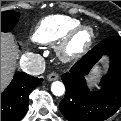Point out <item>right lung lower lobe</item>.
<instances>
[{
    "instance_id": "1",
    "label": "right lung lower lobe",
    "mask_w": 121,
    "mask_h": 121,
    "mask_svg": "<svg viewBox=\"0 0 121 121\" xmlns=\"http://www.w3.org/2000/svg\"><path fill=\"white\" fill-rule=\"evenodd\" d=\"M42 81V78L23 72L16 73L11 84L1 93V121H20L27 111L30 92Z\"/></svg>"
}]
</instances>
